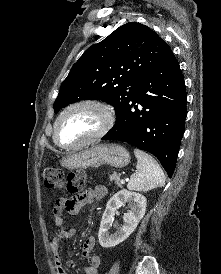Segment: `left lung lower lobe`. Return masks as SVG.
Listing matches in <instances>:
<instances>
[{"label": "left lung lower lobe", "mask_w": 221, "mask_h": 274, "mask_svg": "<svg viewBox=\"0 0 221 274\" xmlns=\"http://www.w3.org/2000/svg\"><path fill=\"white\" fill-rule=\"evenodd\" d=\"M187 94L171 49L145 74L136 95L117 113L102 138L127 142L158 158L171 177L185 131Z\"/></svg>", "instance_id": "1"}]
</instances>
